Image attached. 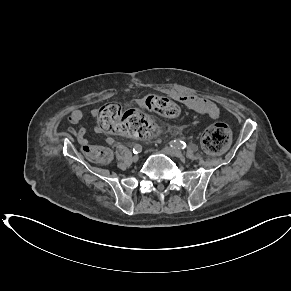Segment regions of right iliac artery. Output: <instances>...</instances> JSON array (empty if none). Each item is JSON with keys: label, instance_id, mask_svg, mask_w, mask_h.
<instances>
[{"label": "right iliac artery", "instance_id": "right-iliac-artery-1", "mask_svg": "<svg viewBox=\"0 0 291 291\" xmlns=\"http://www.w3.org/2000/svg\"><path fill=\"white\" fill-rule=\"evenodd\" d=\"M141 151H142V146L139 145V144H136V145L134 146V148H133V153H134V154H138V153H140Z\"/></svg>", "mask_w": 291, "mask_h": 291}]
</instances>
